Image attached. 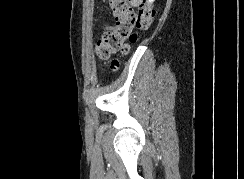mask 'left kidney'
I'll return each instance as SVG.
<instances>
[{
  "label": "left kidney",
  "instance_id": "1",
  "mask_svg": "<svg viewBox=\"0 0 244 179\" xmlns=\"http://www.w3.org/2000/svg\"><path fill=\"white\" fill-rule=\"evenodd\" d=\"M150 4H152V2H154V0H149Z\"/></svg>",
  "mask_w": 244,
  "mask_h": 179
}]
</instances>
